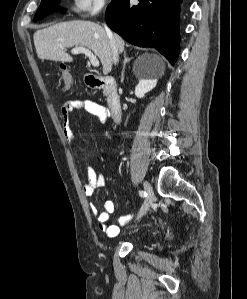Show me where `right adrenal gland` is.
<instances>
[{
  "label": "right adrenal gland",
  "mask_w": 247,
  "mask_h": 299,
  "mask_svg": "<svg viewBox=\"0 0 247 299\" xmlns=\"http://www.w3.org/2000/svg\"><path fill=\"white\" fill-rule=\"evenodd\" d=\"M124 61H123V68H122V72H121V77H124V73H125V68H126V64L132 59V57L128 58L126 55V52H124Z\"/></svg>",
  "instance_id": "right-adrenal-gland-1"
}]
</instances>
